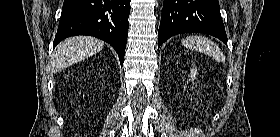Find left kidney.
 <instances>
[{"label": "left kidney", "mask_w": 280, "mask_h": 137, "mask_svg": "<svg viewBox=\"0 0 280 137\" xmlns=\"http://www.w3.org/2000/svg\"><path fill=\"white\" fill-rule=\"evenodd\" d=\"M196 75H197V71L195 69H192L191 70V75H190L191 79L193 80Z\"/></svg>", "instance_id": "5707ae66"}]
</instances>
